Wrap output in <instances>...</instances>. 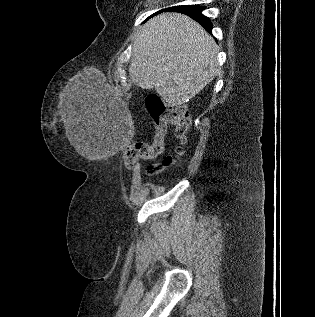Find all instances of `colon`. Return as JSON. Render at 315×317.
<instances>
[{"label": "colon", "mask_w": 315, "mask_h": 317, "mask_svg": "<svg viewBox=\"0 0 315 317\" xmlns=\"http://www.w3.org/2000/svg\"><path fill=\"white\" fill-rule=\"evenodd\" d=\"M146 108L154 123V135L151 142H136L127 148L125 161L135 164L142 159H151L162 154L169 127H174L175 136L185 143L191 125L188 110L183 106H168L156 96L146 99ZM174 162L173 157H166L160 163L148 167L150 174H157Z\"/></svg>", "instance_id": "1"}]
</instances>
